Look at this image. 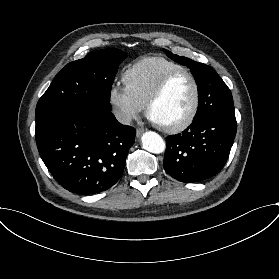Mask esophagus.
<instances>
[{
  "mask_svg": "<svg viewBox=\"0 0 279 279\" xmlns=\"http://www.w3.org/2000/svg\"><path fill=\"white\" fill-rule=\"evenodd\" d=\"M144 132H145V130L143 128H137L136 129V136L140 137Z\"/></svg>",
  "mask_w": 279,
  "mask_h": 279,
  "instance_id": "1",
  "label": "esophagus"
}]
</instances>
